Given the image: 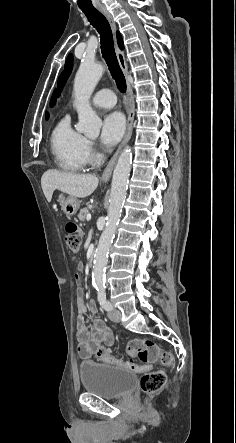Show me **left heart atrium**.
Returning <instances> with one entry per match:
<instances>
[{
    "label": "left heart atrium",
    "mask_w": 236,
    "mask_h": 443,
    "mask_svg": "<svg viewBox=\"0 0 236 443\" xmlns=\"http://www.w3.org/2000/svg\"><path fill=\"white\" fill-rule=\"evenodd\" d=\"M125 131L124 116L117 111L110 112L103 117L100 140L106 146L116 144Z\"/></svg>",
    "instance_id": "left-heart-atrium-1"
}]
</instances>
